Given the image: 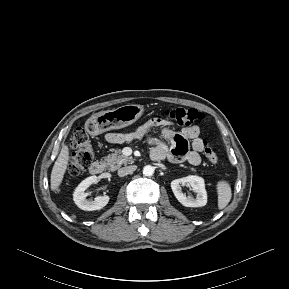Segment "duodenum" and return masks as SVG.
Masks as SVG:
<instances>
[{"mask_svg": "<svg viewBox=\"0 0 289 289\" xmlns=\"http://www.w3.org/2000/svg\"><path fill=\"white\" fill-rule=\"evenodd\" d=\"M152 160L157 161L159 160V157L156 155H151ZM105 170V164L101 161H94L91 166H90V173L92 175H99L101 173H103Z\"/></svg>", "mask_w": 289, "mask_h": 289, "instance_id": "410a0bca", "label": "duodenum"}]
</instances>
